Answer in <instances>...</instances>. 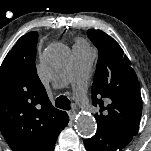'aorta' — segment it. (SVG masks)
Returning a JSON list of instances; mask_svg holds the SVG:
<instances>
[{"mask_svg":"<svg viewBox=\"0 0 151 151\" xmlns=\"http://www.w3.org/2000/svg\"><path fill=\"white\" fill-rule=\"evenodd\" d=\"M47 64L52 68H60L70 60V52L64 45L54 44L44 53ZM76 129L84 137L92 135L97 128L95 119L88 114H81L76 120Z\"/></svg>","mask_w":151,"mask_h":151,"instance_id":"aorta-1","label":"aorta"}]
</instances>
